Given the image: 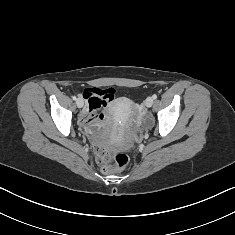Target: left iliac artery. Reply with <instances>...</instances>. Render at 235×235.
<instances>
[{"label":"left iliac artery","instance_id":"1","mask_svg":"<svg viewBox=\"0 0 235 235\" xmlns=\"http://www.w3.org/2000/svg\"><path fill=\"white\" fill-rule=\"evenodd\" d=\"M152 97H153V99H156V98H157V95H156V94H154Z\"/></svg>","mask_w":235,"mask_h":235}]
</instances>
